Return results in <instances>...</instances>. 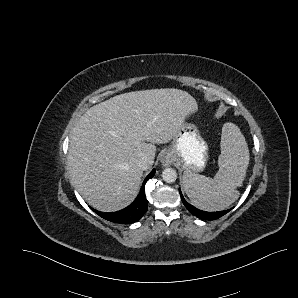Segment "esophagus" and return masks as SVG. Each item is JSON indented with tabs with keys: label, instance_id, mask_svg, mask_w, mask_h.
Segmentation results:
<instances>
[{
	"label": "esophagus",
	"instance_id": "esophagus-1",
	"mask_svg": "<svg viewBox=\"0 0 298 298\" xmlns=\"http://www.w3.org/2000/svg\"><path fill=\"white\" fill-rule=\"evenodd\" d=\"M161 162L164 166H170L172 164L173 159L170 151H166L162 154Z\"/></svg>",
	"mask_w": 298,
	"mask_h": 298
}]
</instances>
